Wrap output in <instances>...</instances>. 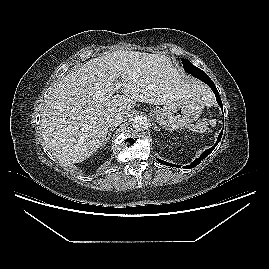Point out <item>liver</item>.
<instances>
[{
	"label": "liver",
	"instance_id": "6515ba94",
	"mask_svg": "<svg viewBox=\"0 0 269 269\" xmlns=\"http://www.w3.org/2000/svg\"><path fill=\"white\" fill-rule=\"evenodd\" d=\"M188 97L202 105L213 103L210 90L180 75L169 57L114 51L89 60L57 82L42 113V137L61 164L81 163L103 146L111 112L128 114L138 101L169 105Z\"/></svg>",
	"mask_w": 269,
	"mask_h": 269
}]
</instances>
